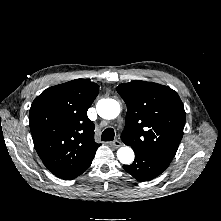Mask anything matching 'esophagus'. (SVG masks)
Returning <instances> with one entry per match:
<instances>
[{
  "mask_svg": "<svg viewBox=\"0 0 221 221\" xmlns=\"http://www.w3.org/2000/svg\"><path fill=\"white\" fill-rule=\"evenodd\" d=\"M109 144L112 145L114 148H119L122 146V142L119 140L112 141Z\"/></svg>",
  "mask_w": 221,
  "mask_h": 221,
  "instance_id": "1",
  "label": "esophagus"
}]
</instances>
